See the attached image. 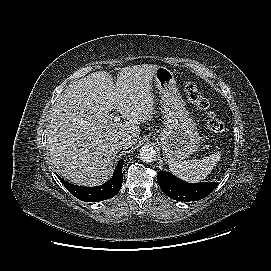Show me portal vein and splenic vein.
<instances>
[{
    "label": "portal vein and splenic vein",
    "instance_id": "portal-vein-and-splenic-vein-1",
    "mask_svg": "<svg viewBox=\"0 0 271 271\" xmlns=\"http://www.w3.org/2000/svg\"><path fill=\"white\" fill-rule=\"evenodd\" d=\"M110 119L117 123L120 121V116L119 115H116V116L110 115Z\"/></svg>",
    "mask_w": 271,
    "mask_h": 271
}]
</instances>
